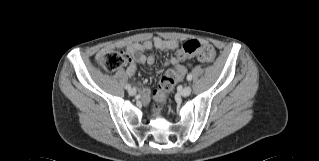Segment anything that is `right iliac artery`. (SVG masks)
I'll use <instances>...</instances> for the list:
<instances>
[{"label": "right iliac artery", "instance_id": "82829eb1", "mask_svg": "<svg viewBox=\"0 0 319 161\" xmlns=\"http://www.w3.org/2000/svg\"><path fill=\"white\" fill-rule=\"evenodd\" d=\"M126 89H127V90L131 89V85H129V84L126 85Z\"/></svg>", "mask_w": 319, "mask_h": 161}]
</instances>
